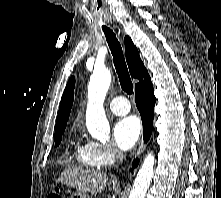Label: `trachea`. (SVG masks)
I'll use <instances>...</instances> for the list:
<instances>
[{
	"mask_svg": "<svg viewBox=\"0 0 221 198\" xmlns=\"http://www.w3.org/2000/svg\"><path fill=\"white\" fill-rule=\"evenodd\" d=\"M106 40L110 47L116 72L119 77L121 88L127 93H133V84L125 62L122 47L116 38V35L107 27H102Z\"/></svg>",
	"mask_w": 221,
	"mask_h": 198,
	"instance_id": "trachea-1",
	"label": "trachea"
}]
</instances>
